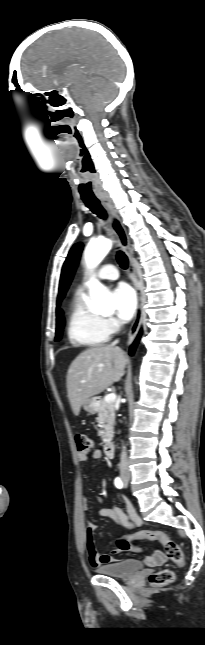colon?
Returning a JSON list of instances; mask_svg holds the SVG:
<instances>
[{"label": "colon", "instance_id": "5ec220e1", "mask_svg": "<svg viewBox=\"0 0 205 645\" xmlns=\"http://www.w3.org/2000/svg\"><path fill=\"white\" fill-rule=\"evenodd\" d=\"M75 442L78 453L81 455H88L94 449L93 440L83 434L76 435ZM133 539L141 540H158L162 543L165 554L169 560L175 564L182 566L184 564V553L181 546L170 538L167 534L160 531H142L137 535L126 536L117 541V548L119 551H140L139 548L134 547L131 543ZM175 579V574L169 569H164L154 572L149 576V582L153 586L161 587L172 583Z\"/></svg>", "mask_w": 205, "mask_h": 645}]
</instances>
